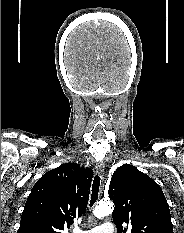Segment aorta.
Returning a JSON list of instances; mask_svg holds the SVG:
<instances>
[{"mask_svg": "<svg viewBox=\"0 0 184 233\" xmlns=\"http://www.w3.org/2000/svg\"><path fill=\"white\" fill-rule=\"evenodd\" d=\"M113 211V204L108 201H100L95 209H94V216L97 218H103Z\"/></svg>", "mask_w": 184, "mask_h": 233, "instance_id": "1", "label": "aorta"}]
</instances>
